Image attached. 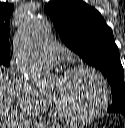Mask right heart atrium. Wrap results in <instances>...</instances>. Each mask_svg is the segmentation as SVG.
Wrapping results in <instances>:
<instances>
[{
    "label": "right heart atrium",
    "instance_id": "1",
    "mask_svg": "<svg viewBox=\"0 0 125 128\" xmlns=\"http://www.w3.org/2000/svg\"><path fill=\"white\" fill-rule=\"evenodd\" d=\"M10 84L15 104L20 111L35 115L48 106L47 98L40 94L23 74L12 72Z\"/></svg>",
    "mask_w": 125,
    "mask_h": 128
}]
</instances>
